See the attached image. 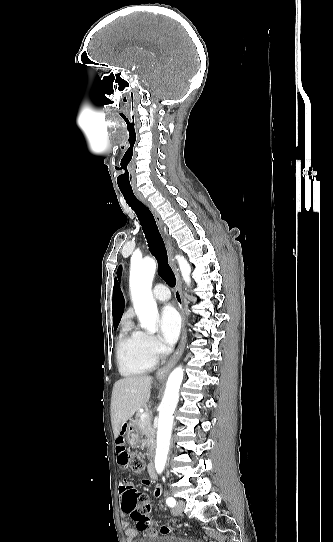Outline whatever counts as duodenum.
<instances>
[{"instance_id":"1","label":"duodenum","mask_w":333,"mask_h":542,"mask_svg":"<svg viewBox=\"0 0 333 542\" xmlns=\"http://www.w3.org/2000/svg\"><path fill=\"white\" fill-rule=\"evenodd\" d=\"M148 473L151 477H155V466L153 461H150L147 466Z\"/></svg>"}]
</instances>
